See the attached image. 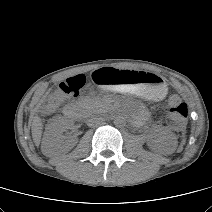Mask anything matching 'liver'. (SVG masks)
Masks as SVG:
<instances>
[{
	"label": "liver",
	"instance_id": "liver-1",
	"mask_svg": "<svg viewBox=\"0 0 212 212\" xmlns=\"http://www.w3.org/2000/svg\"><path fill=\"white\" fill-rule=\"evenodd\" d=\"M43 130V124L39 116H35L32 122V138L36 146H39L41 135Z\"/></svg>",
	"mask_w": 212,
	"mask_h": 212
}]
</instances>
